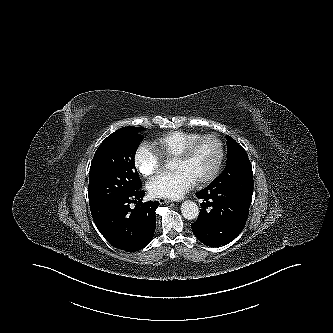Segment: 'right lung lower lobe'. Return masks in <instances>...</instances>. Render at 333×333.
<instances>
[{"label":"right lung lower lobe","instance_id":"right-lung-lower-lobe-1","mask_svg":"<svg viewBox=\"0 0 333 333\" xmlns=\"http://www.w3.org/2000/svg\"><path fill=\"white\" fill-rule=\"evenodd\" d=\"M144 191L113 197L90 206L95 225L115 248L127 252L141 250L151 241L155 228L158 202L141 203ZM138 200V201H137ZM135 207L130 208V204Z\"/></svg>","mask_w":333,"mask_h":333}]
</instances>
